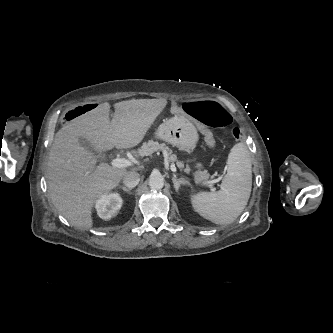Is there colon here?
I'll return each mask as SVG.
<instances>
[{
    "label": "colon",
    "mask_w": 333,
    "mask_h": 333,
    "mask_svg": "<svg viewBox=\"0 0 333 333\" xmlns=\"http://www.w3.org/2000/svg\"><path fill=\"white\" fill-rule=\"evenodd\" d=\"M97 103L90 102L79 108L73 109L66 114V120L71 121L81 113L97 108ZM184 110L198 119L207 127L226 128L231 125V115L218 103L214 101H199L184 104ZM244 132L239 126L232 128L231 138L233 140H243Z\"/></svg>",
    "instance_id": "obj_1"
}]
</instances>
